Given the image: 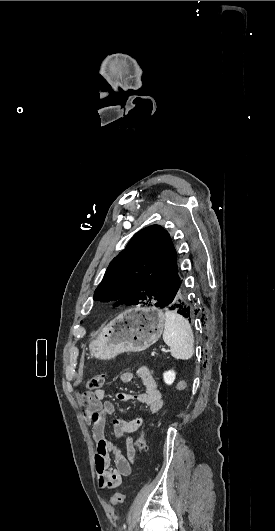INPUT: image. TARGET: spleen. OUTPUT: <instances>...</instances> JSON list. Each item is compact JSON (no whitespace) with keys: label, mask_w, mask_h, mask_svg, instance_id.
Masks as SVG:
<instances>
[{"label":"spleen","mask_w":275,"mask_h":531,"mask_svg":"<svg viewBox=\"0 0 275 531\" xmlns=\"http://www.w3.org/2000/svg\"><path fill=\"white\" fill-rule=\"evenodd\" d=\"M163 341L170 347L175 359H191L194 353V337L188 319L178 315L176 311H166Z\"/></svg>","instance_id":"spleen-1"}]
</instances>
